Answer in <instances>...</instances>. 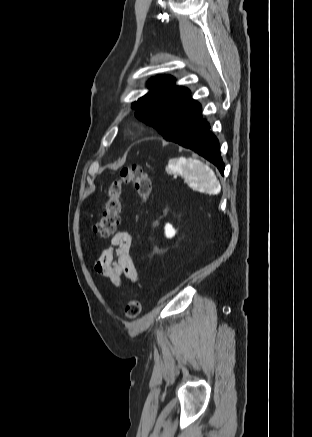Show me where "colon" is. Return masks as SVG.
<instances>
[{
  "instance_id": "1",
  "label": "colon",
  "mask_w": 312,
  "mask_h": 437,
  "mask_svg": "<svg viewBox=\"0 0 312 437\" xmlns=\"http://www.w3.org/2000/svg\"><path fill=\"white\" fill-rule=\"evenodd\" d=\"M125 184L131 185L139 196L140 202L146 204L151 196L152 182L149 174L139 165L124 167L117 178L106 188V200L99 220L93 224V231L101 237L112 236L119 225L122 211L121 194ZM142 310L138 299H130L125 307V315L129 320L136 319Z\"/></svg>"
}]
</instances>
